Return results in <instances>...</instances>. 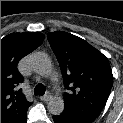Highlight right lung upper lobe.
Here are the masks:
<instances>
[{"label": "right lung upper lobe", "mask_w": 123, "mask_h": 123, "mask_svg": "<svg viewBox=\"0 0 123 123\" xmlns=\"http://www.w3.org/2000/svg\"><path fill=\"white\" fill-rule=\"evenodd\" d=\"M45 36L40 32L12 33L1 39V123H24L26 101L18 85L22 75L17 71V63L41 45Z\"/></svg>", "instance_id": "obj_1"}]
</instances>
